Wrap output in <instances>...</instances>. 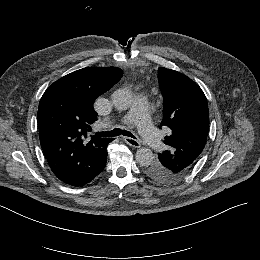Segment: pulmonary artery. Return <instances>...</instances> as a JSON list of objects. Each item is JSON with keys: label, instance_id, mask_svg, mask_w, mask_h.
<instances>
[{"label": "pulmonary artery", "instance_id": "pulmonary-artery-1", "mask_svg": "<svg viewBox=\"0 0 260 260\" xmlns=\"http://www.w3.org/2000/svg\"><path fill=\"white\" fill-rule=\"evenodd\" d=\"M126 122L129 125L140 124L143 135L153 151H160L163 148V141L156 131L152 116L149 114L148 102L145 99H138L135 102V108L126 115Z\"/></svg>", "mask_w": 260, "mask_h": 260}]
</instances>
